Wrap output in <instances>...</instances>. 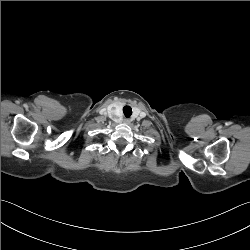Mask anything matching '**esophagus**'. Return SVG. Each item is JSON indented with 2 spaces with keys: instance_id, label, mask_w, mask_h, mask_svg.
Here are the masks:
<instances>
[{
  "instance_id": "esophagus-1",
  "label": "esophagus",
  "mask_w": 250,
  "mask_h": 250,
  "mask_svg": "<svg viewBox=\"0 0 250 250\" xmlns=\"http://www.w3.org/2000/svg\"><path fill=\"white\" fill-rule=\"evenodd\" d=\"M123 122H124L125 124H129V123H130V120H129V119H124Z\"/></svg>"
}]
</instances>
